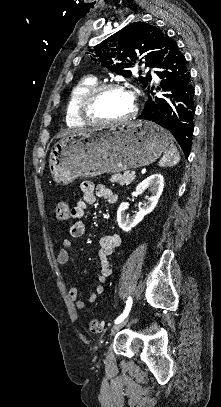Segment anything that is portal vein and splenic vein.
I'll use <instances>...</instances> for the list:
<instances>
[{"label": "portal vein and splenic vein", "instance_id": "obj_1", "mask_svg": "<svg viewBox=\"0 0 221 407\" xmlns=\"http://www.w3.org/2000/svg\"><path fill=\"white\" fill-rule=\"evenodd\" d=\"M131 174H132L133 176H135L136 172H135V171H133V172H131Z\"/></svg>", "mask_w": 221, "mask_h": 407}]
</instances>
